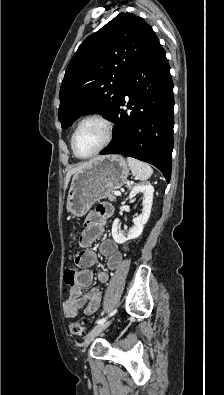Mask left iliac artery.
I'll return each instance as SVG.
<instances>
[{
  "mask_svg": "<svg viewBox=\"0 0 224 395\" xmlns=\"http://www.w3.org/2000/svg\"><path fill=\"white\" fill-rule=\"evenodd\" d=\"M116 312H117L116 309L113 310V311L109 314V317L113 316ZM102 315H103V314H102ZM107 318H108V317H103V318L98 319V320L96 321V324H101V323L105 322V321L107 320Z\"/></svg>",
  "mask_w": 224,
  "mask_h": 395,
  "instance_id": "44dca946",
  "label": "left iliac artery"
}]
</instances>
